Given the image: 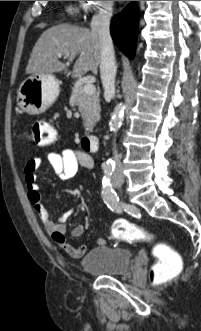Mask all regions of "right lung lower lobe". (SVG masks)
I'll return each instance as SVG.
<instances>
[{
    "label": "right lung lower lobe",
    "instance_id": "obj_1",
    "mask_svg": "<svg viewBox=\"0 0 201 331\" xmlns=\"http://www.w3.org/2000/svg\"><path fill=\"white\" fill-rule=\"evenodd\" d=\"M139 13L134 3L128 5L111 21V35L116 46L133 59L138 34Z\"/></svg>",
    "mask_w": 201,
    "mask_h": 331
}]
</instances>
